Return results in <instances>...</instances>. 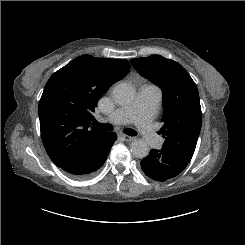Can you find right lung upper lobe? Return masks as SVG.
I'll return each instance as SVG.
<instances>
[{
	"label": "right lung upper lobe",
	"mask_w": 245,
	"mask_h": 245,
	"mask_svg": "<svg viewBox=\"0 0 245 245\" xmlns=\"http://www.w3.org/2000/svg\"><path fill=\"white\" fill-rule=\"evenodd\" d=\"M129 70L124 59L82 55L50 77L39 102V118L42 141L53 163L60 166L103 132L91 126V113Z\"/></svg>",
	"instance_id": "cb5924a9"
}]
</instances>
